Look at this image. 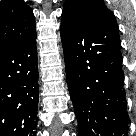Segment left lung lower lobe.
Returning a JSON list of instances; mask_svg holds the SVG:
<instances>
[{
	"label": "left lung lower lobe",
	"mask_w": 136,
	"mask_h": 136,
	"mask_svg": "<svg viewBox=\"0 0 136 136\" xmlns=\"http://www.w3.org/2000/svg\"><path fill=\"white\" fill-rule=\"evenodd\" d=\"M70 97L79 136H127L122 58L117 28L61 23Z\"/></svg>",
	"instance_id": "1"
}]
</instances>
